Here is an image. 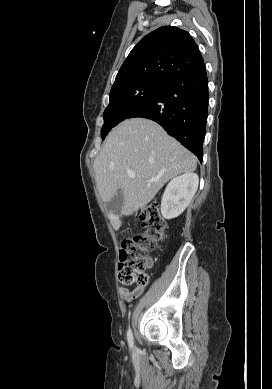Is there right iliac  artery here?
Wrapping results in <instances>:
<instances>
[{
    "mask_svg": "<svg viewBox=\"0 0 272 389\" xmlns=\"http://www.w3.org/2000/svg\"><path fill=\"white\" fill-rule=\"evenodd\" d=\"M127 340H128V344H129L130 348L132 349L133 345H134V341H133V334H132V331L130 328L127 332Z\"/></svg>",
    "mask_w": 272,
    "mask_h": 389,
    "instance_id": "82829eb1",
    "label": "right iliac artery"
}]
</instances>
